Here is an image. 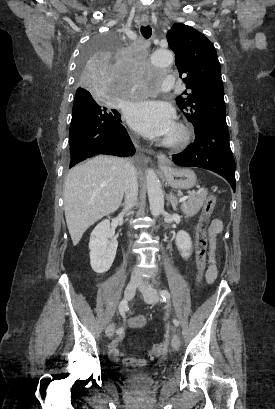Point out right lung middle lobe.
<instances>
[{"mask_svg": "<svg viewBox=\"0 0 275 409\" xmlns=\"http://www.w3.org/2000/svg\"><path fill=\"white\" fill-rule=\"evenodd\" d=\"M123 36L118 30H101L93 42L86 43L83 57L78 59V79L69 129V154L61 176L72 173L74 165L98 154L132 156L135 148L121 124L117 110L124 105V96H108L105 91H129V82H120L115 70L116 51H121ZM147 160H133V169H147Z\"/></svg>", "mask_w": 275, "mask_h": 409, "instance_id": "dd1d6c3e", "label": "right lung middle lobe"}]
</instances>
